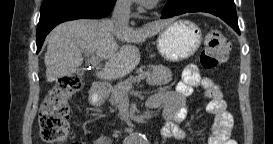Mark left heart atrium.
Wrapping results in <instances>:
<instances>
[{"instance_id": "1", "label": "left heart atrium", "mask_w": 273, "mask_h": 144, "mask_svg": "<svg viewBox=\"0 0 273 144\" xmlns=\"http://www.w3.org/2000/svg\"><path fill=\"white\" fill-rule=\"evenodd\" d=\"M139 2L146 7H152L156 4L157 0H139Z\"/></svg>"}]
</instances>
